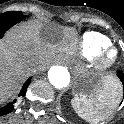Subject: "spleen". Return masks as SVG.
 Listing matches in <instances>:
<instances>
[{
  "label": "spleen",
  "mask_w": 124,
  "mask_h": 124,
  "mask_svg": "<svg viewBox=\"0 0 124 124\" xmlns=\"http://www.w3.org/2000/svg\"><path fill=\"white\" fill-rule=\"evenodd\" d=\"M113 86L106 85L96 95L89 98L75 97L71 100L76 113L88 122L97 123L106 119L110 110L117 104L120 96L118 84L112 79ZM103 124V123H101Z\"/></svg>",
  "instance_id": "1"
}]
</instances>
